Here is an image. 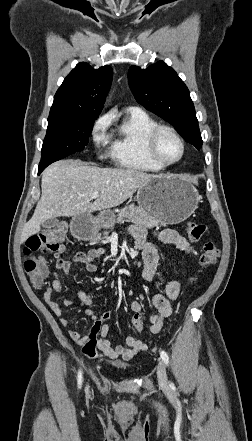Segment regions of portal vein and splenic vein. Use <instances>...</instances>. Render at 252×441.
I'll use <instances>...</instances> for the list:
<instances>
[{
    "label": "portal vein and splenic vein",
    "mask_w": 252,
    "mask_h": 441,
    "mask_svg": "<svg viewBox=\"0 0 252 441\" xmlns=\"http://www.w3.org/2000/svg\"><path fill=\"white\" fill-rule=\"evenodd\" d=\"M98 197H99V192H94V193L91 194V198L92 199H96Z\"/></svg>",
    "instance_id": "obj_1"
}]
</instances>
